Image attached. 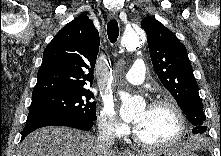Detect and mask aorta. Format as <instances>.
Masks as SVG:
<instances>
[{
  "mask_svg": "<svg viewBox=\"0 0 221 156\" xmlns=\"http://www.w3.org/2000/svg\"><path fill=\"white\" fill-rule=\"evenodd\" d=\"M121 46L129 51H133L142 44V35L136 30L125 31L120 40ZM122 105L120 115L125 120H130L134 117L135 112L143 107V102L138 98L131 97L127 92H119Z\"/></svg>",
  "mask_w": 221,
  "mask_h": 156,
  "instance_id": "1",
  "label": "aorta"
}]
</instances>
